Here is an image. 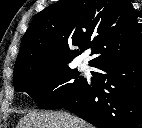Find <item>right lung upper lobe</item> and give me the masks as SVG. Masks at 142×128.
<instances>
[{
    "mask_svg": "<svg viewBox=\"0 0 142 128\" xmlns=\"http://www.w3.org/2000/svg\"><path fill=\"white\" fill-rule=\"evenodd\" d=\"M140 47L139 23L129 0H60L33 18L14 73L40 62L66 65L89 48L94 55L89 65L94 67Z\"/></svg>",
    "mask_w": 142,
    "mask_h": 128,
    "instance_id": "1",
    "label": "right lung upper lobe"
}]
</instances>
